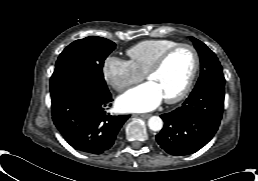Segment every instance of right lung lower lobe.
<instances>
[{
	"label": "right lung lower lobe",
	"instance_id": "98d812e1",
	"mask_svg": "<svg viewBox=\"0 0 258 181\" xmlns=\"http://www.w3.org/2000/svg\"><path fill=\"white\" fill-rule=\"evenodd\" d=\"M50 92L54 124L64 139L82 152L102 154L109 150L129 118L106 113L112 101L108 90L94 89L66 73H53Z\"/></svg>",
	"mask_w": 258,
	"mask_h": 181
}]
</instances>
